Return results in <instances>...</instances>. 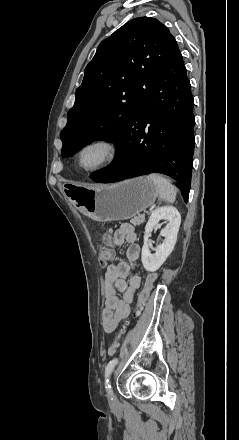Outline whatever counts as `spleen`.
Masks as SVG:
<instances>
[{"label":"spleen","mask_w":239,"mask_h":440,"mask_svg":"<svg viewBox=\"0 0 239 440\" xmlns=\"http://www.w3.org/2000/svg\"><path fill=\"white\" fill-rule=\"evenodd\" d=\"M148 178H150L151 182H154L155 186H157L159 198H161V200H165L168 204H173V202H175L178 188L172 186L169 180L163 178L161 174H150Z\"/></svg>","instance_id":"3e777b00"}]
</instances>
